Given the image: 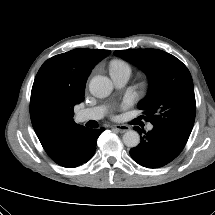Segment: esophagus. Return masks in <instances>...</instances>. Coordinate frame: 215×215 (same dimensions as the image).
I'll return each instance as SVG.
<instances>
[{
	"instance_id": "obj_1",
	"label": "esophagus",
	"mask_w": 215,
	"mask_h": 215,
	"mask_svg": "<svg viewBox=\"0 0 215 215\" xmlns=\"http://www.w3.org/2000/svg\"><path fill=\"white\" fill-rule=\"evenodd\" d=\"M113 129H115L116 131L120 132V133H124L130 130V127L127 125H114Z\"/></svg>"
}]
</instances>
